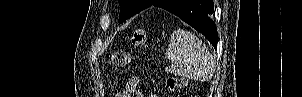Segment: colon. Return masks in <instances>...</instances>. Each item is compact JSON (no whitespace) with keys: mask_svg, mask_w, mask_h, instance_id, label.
<instances>
[{"mask_svg":"<svg viewBox=\"0 0 302 97\" xmlns=\"http://www.w3.org/2000/svg\"><path fill=\"white\" fill-rule=\"evenodd\" d=\"M148 43V37L143 27H136L133 31L132 44L136 48H145ZM130 62V54L127 51H115L111 55V63L116 67H123ZM183 85V81L180 79L169 78L167 80V86L170 90L174 91L179 89Z\"/></svg>","mask_w":302,"mask_h":97,"instance_id":"colon-1","label":"colon"}]
</instances>
